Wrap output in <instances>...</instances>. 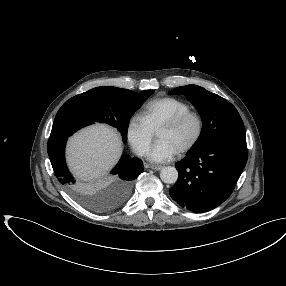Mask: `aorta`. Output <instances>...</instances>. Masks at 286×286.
Masks as SVG:
<instances>
[{"label":"aorta","mask_w":286,"mask_h":286,"mask_svg":"<svg viewBox=\"0 0 286 286\" xmlns=\"http://www.w3.org/2000/svg\"><path fill=\"white\" fill-rule=\"evenodd\" d=\"M160 178L164 183L173 184L178 179V172L175 167H164L161 170Z\"/></svg>","instance_id":"obj_1"}]
</instances>
